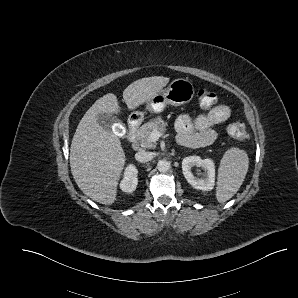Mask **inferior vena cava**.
<instances>
[{"label":"inferior vena cava","mask_w":298,"mask_h":298,"mask_svg":"<svg viewBox=\"0 0 298 298\" xmlns=\"http://www.w3.org/2000/svg\"><path fill=\"white\" fill-rule=\"evenodd\" d=\"M153 158H154V153L149 151H139L135 154V159L141 163L149 162L153 160Z\"/></svg>","instance_id":"1"}]
</instances>
